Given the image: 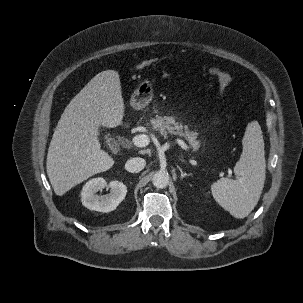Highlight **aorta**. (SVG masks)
<instances>
[{
	"label": "aorta",
	"instance_id": "aorta-1",
	"mask_svg": "<svg viewBox=\"0 0 303 303\" xmlns=\"http://www.w3.org/2000/svg\"><path fill=\"white\" fill-rule=\"evenodd\" d=\"M152 183L156 188L163 189L169 183V175L165 171H158L152 178Z\"/></svg>",
	"mask_w": 303,
	"mask_h": 303
}]
</instances>
